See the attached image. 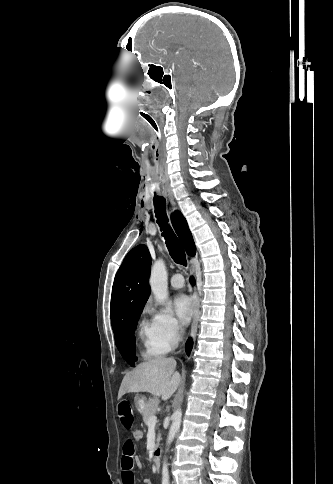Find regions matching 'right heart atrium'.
Returning a JSON list of instances; mask_svg holds the SVG:
<instances>
[{
	"label": "right heart atrium",
	"mask_w": 333,
	"mask_h": 484,
	"mask_svg": "<svg viewBox=\"0 0 333 484\" xmlns=\"http://www.w3.org/2000/svg\"><path fill=\"white\" fill-rule=\"evenodd\" d=\"M147 311L151 313L152 324L160 347L164 351L174 348L182 335V326L178 320L165 308H155L153 305H148Z\"/></svg>",
	"instance_id": "right-heart-atrium-1"
}]
</instances>
